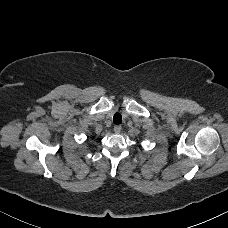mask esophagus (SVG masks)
Masks as SVG:
<instances>
[{
  "label": "esophagus",
  "mask_w": 228,
  "mask_h": 228,
  "mask_svg": "<svg viewBox=\"0 0 228 228\" xmlns=\"http://www.w3.org/2000/svg\"><path fill=\"white\" fill-rule=\"evenodd\" d=\"M114 132H115L116 134H119V133L121 132V126H115V127H114Z\"/></svg>",
  "instance_id": "34e87169"
}]
</instances>
